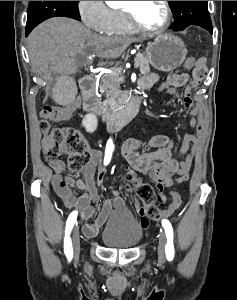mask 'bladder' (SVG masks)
Returning <instances> with one entry per match:
<instances>
[{
  "mask_svg": "<svg viewBox=\"0 0 237 300\" xmlns=\"http://www.w3.org/2000/svg\"><path fill=\"white\" fill-rule=\"evenodd\" d=\"M143 237V228L129 211L114 214L100 233L102 243L110 248L128 249Z\"/></svg>",
  "mask_w": 237,
  "mask_h": 300,
  "instance_id": "31cf9c89",
  "label": "bladder"
}]
</instances>
